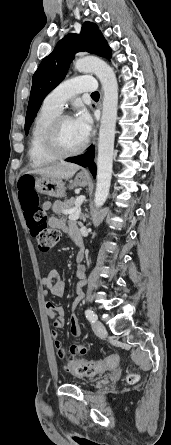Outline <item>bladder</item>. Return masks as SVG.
Instances as JSON below:
<instances>
[{"mask_svg":"<svg viewBox=\"0 0 171 445\" xmlns=\"http://www.w3.org/2000/svg\"><path fill=\"white\" fill-rule=\"evenodd\" d=\"M101 377L102 376L93 377V378H85V379L80 380V384L81 385H88V384H90V383H92L94 381L99 380Z\"/></svg>","mask_w":171,"mask_h":445,"instance_id":"bladder-1","label":"bladder"}]
</instances>
